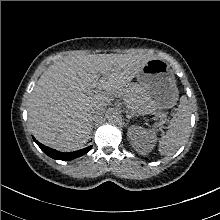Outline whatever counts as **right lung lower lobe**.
Returning a JSON list of instances; mask_svg holds the SVG:
<instances>
[{
    "label": "right lung lower lobe",
    "instance_id": "1",
    "mask_svg": "<svg viewBox=\"0 0 220 220\" xmlns=\"http://www.w3.org/2000/svg\"><path fill=\"white\" fill-rule=\"evenodd\" d=\"M33 139L45 154L52 157L53 159H58V160H63V161L78 158V157L86 154L92 147V146H89L87 148H84V149H81V150H78L75 152L62 153L57 150H54V149H51L49 147L44 146L43 144L39 143L35 138H33Z\"/></svg>",
    "mask_w": 220,
    "mask_h": 220
}]
</instances>
